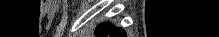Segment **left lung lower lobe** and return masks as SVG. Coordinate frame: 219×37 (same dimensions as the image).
<instances>
[{
  "label": "left lung lower lobe",
  "instance_id": "obj_1",
  "mask_svg": "<svg viewBox=\"0 0 219 37\" xmlns=\"http://www.w3.org/2000/svg\"><path fill=\"white\" fill-rule=\"evenodd\" d=\"M107 35L112 36V37H126V33L122 28H116L114 25L111 27V29L104 33L100 37H106Z\"/></svg>",
  "mask_w": 219,
  "mask_h": 37
}]
</instances>
